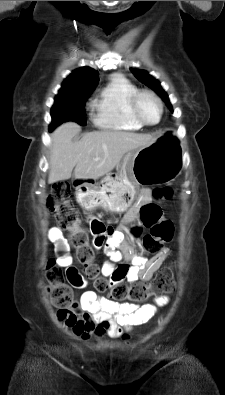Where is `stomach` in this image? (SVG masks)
Returning <instances> with one entry per match:
<instances>
[{"mask_svg":"<svg viewBox=\"0 0 225 395\" xmlns=\"http://www.w3.org/2000/svg\"><path fill=\"white\" fill-rule=\"evenodd\" d=\"M180 173L178 159L160 141L130 151L117 174H107L97 186H82L76 195L86 209L102 207L121 213L134 202L139 186L173 181Z\"/></svg>","mask_w":225,"mask_h":395,"instance_id":"1","label":"stomach"}]
</instances>
